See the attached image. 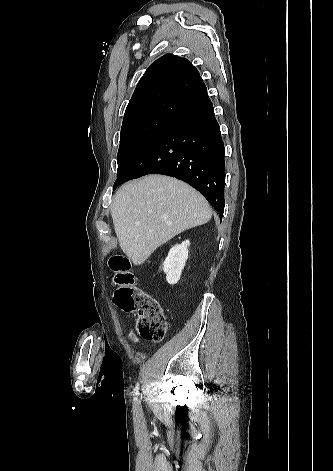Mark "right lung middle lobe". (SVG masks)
Instances as JSON below:
<instances>
[{
	"instance_id": "dd1d6c3e",
	"label": "right lung middle lobe",
	"mask_w": 333,
	"mask_h": 471,
	"mask_svg": "<svg viewBox=\"0 0 333 471\" xmlns=\"http://www.w3.org/2000/svg\"><path fill=\"white\" fill-rule=\"evenodd\" d=\"M174 120L173 117L159 114L134 115L123 119L117 154V179L145 147Z\"/></svg>"
}]
</instances>
